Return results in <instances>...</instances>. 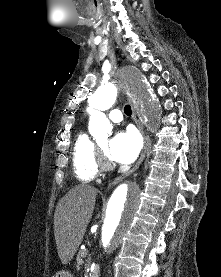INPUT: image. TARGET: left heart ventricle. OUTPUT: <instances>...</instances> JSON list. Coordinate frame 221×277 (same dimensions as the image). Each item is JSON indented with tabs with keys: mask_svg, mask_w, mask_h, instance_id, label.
Segmentation results:
<instances>
[{
	"mask_svg": "<svg viewBox=\"0 0 221 277\" xmlns=\"http://www.w3.org/2000/svg\"><path fill=\"white\" fill-rule=\"evenodd\" d=\"M100 147L106 152L107 151V143L104 142V143H101L100 144Z\"/></svg>",
	"mask_w": 221,
	"mask_h": 277,
	"instance_id": "b2bd125f",
	"label": "left heart ventricle"
}]
</instances>
